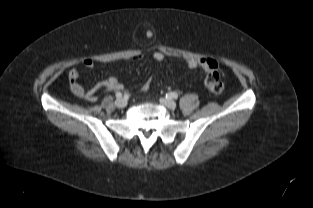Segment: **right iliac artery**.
<instances>
[{
  "mask_svg": "<svg viewBox=\"0 0 313 208\" xmlns=\"http://www.w3.org/2000/svg\"><path fill=\"white\" fill-rule=\"evenodd\" d=\"M122 95H123V94H122L121 92H117V93H116V97H117V98H121Z\"/></svg>",
  "mask_w": 313,
  "mask_h": 208,
  "instance_id": "obj_1",
  "label": "right iliac artery"
}]
</instances>
